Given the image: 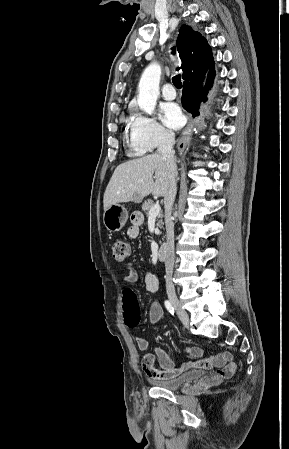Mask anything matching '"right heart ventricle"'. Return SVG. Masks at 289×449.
<instances>
[{
	"label": "right heart ventricle",
	"mask_w": 289,
	"mask_h": 449,
	"mask_svg": "<svg viewBox=\"0 0 289 449\" xmlns=\"http://www.w3.org/2000/svg\"><path fill=\"white\" fill-rule=\"evenodd\" d=\"M133 147V151L136 153V154H138V155H141V154H143L145 151L144 150H142V149H140V148H137V147H134V146H132Z\"/></svg>",
	"instance_id": "right-heart-ventricle-1"
}]
</instances>
